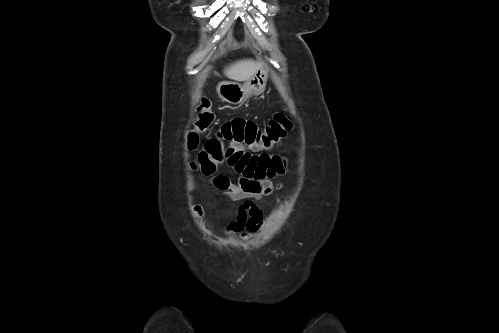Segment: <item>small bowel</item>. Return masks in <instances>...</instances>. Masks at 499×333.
<instances>
[{"label":"small bowel","instance_id":"small-bowel-1","mask_svg":"<svg viewBox=\"0 0 499 333\" xmlns=\"http://www.w3.org/2000/svg\"><path fill=\"white\" fill-rule=\"evenodd\" d=\"M262 133L254 122L235 118L226 122L217 135L226 143L227 162L240 178L232 183L225 176H216L213 183L232 200L243 201L236 219L226 229L227 234L237 233L247 238L260 229L262 213L254 201L273 192L274 186L269 179L284 170L283 159L270 154L271 149L261 147Z\"/></svg>","mask_w":499,"mask_h":333}]
</instances>
